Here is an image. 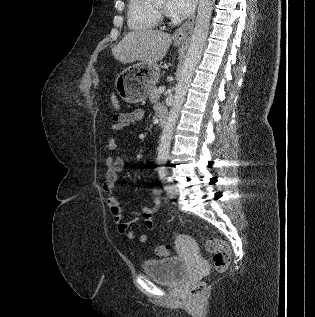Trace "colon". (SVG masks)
<instances>
[{
	"label": "colon",
	"instance_id": "obj_1",
	"mask_svg": "<svg viewBox=\"0 0 315 317\" xmlns=\"http://www.w3.org/2000/svg\"><path fill=\"white\" fill-rule=\"evenodd\" d=\"M113 106L119 108V102L114 97L112 100ZM207 250L213 254V265L216 271L223 272L227 269L230 259L231 250L229 245L218 238H209L206 242ZM170 248L167 245H160L156 248V253L159 256H166L169 254ZM204 290V283L199 282L191 286L189 295L191 298H197Z\"/></svg>",
	"mask_w": 315,
	"mask_h": 317
}]
</instances>
